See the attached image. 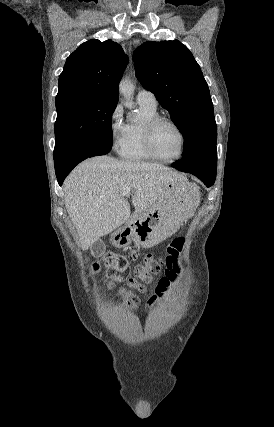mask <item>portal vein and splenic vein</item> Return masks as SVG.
Here are the masks:
<instances>
[{
    "label": "portal vein and splenic vein",
    "instance_id": "1",
    "mask_svg": "<svg viewBox=\"0 0 274 427\" xmlns=\"http://www.w3.org/2000/svg\"><path fill=\"white\" fill-rule=\"evenodd\" d=\"M122 196H126V198H129V196H131L130 190H124V192H122Z\"/></svg>",
    "mask_w": 274,
    "mask_h": 427
}]
</instances>
